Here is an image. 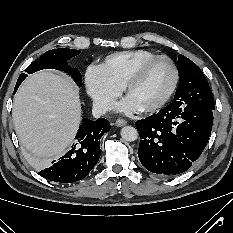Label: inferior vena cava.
I'll use <instances>...</instances> for the list:
<instances>
[{"label":"inferior vena cava","instance_id":"inferior-vena-cava-1","mask_svg":"<svg viewBox=\"0 0 233 233\" xmlns=\"http://www.w3.org/2000/svg\"><path fill=\"white\" fill-rule=\"evenodd\" d=\"M110 109H111L110 103H107L106 101H94L92 113L95 118H98L99 116L105 114Z\"/></svg>","mask_w":233,"mask_h":233}]
</instances>
